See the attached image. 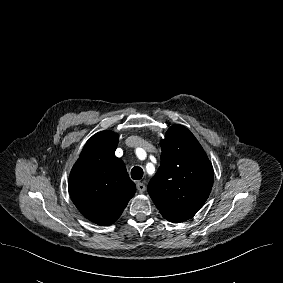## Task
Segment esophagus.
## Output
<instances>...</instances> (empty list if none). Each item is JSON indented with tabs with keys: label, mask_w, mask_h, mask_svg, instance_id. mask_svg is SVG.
I'll return each instance as SVG.
<instances>
[{
	"label": "esophagus",
	"mask_w": 283,
	"mask_h": 283,
	"mask_svg": "<svg viewBox=\"0 0 283 283\" xmlns=\"http://www.w3.org/2000/svg\"><path fill=\"white\" fill-rule=\"evenodd\" d=\"M136 186H137V190H138L140 193H143V192L145 191V189H146L145 184L142 183V182H138Z\"/></svg>",
	"instance_id": "34e87169"
}]
</instances>
